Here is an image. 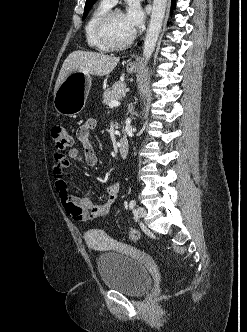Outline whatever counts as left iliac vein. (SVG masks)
Returning <instances> with one entry per match:
<instances>
[{
	"mask_svg": "<svg viewBox=\"0 0 247 332\" xmlns=\"http://www.w3.org/2000/svg\"><path fill=\"white\" fill-rule=\"evenodd\" d=\"M136 214L139 218H144L146 216V210L143 207H138L136 209Z\"/></svg>",
	"mask_w": 247,
	"mask_h": 332,
	"instance_id": "obj_1",
	"label": "left iliac vein"
}]
</instances>
